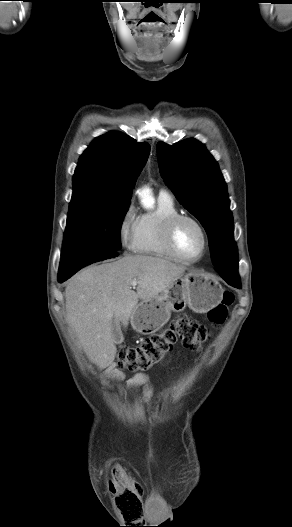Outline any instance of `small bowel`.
Masks as SVG:
<instances>
[{"instance_id":"c3829d8e","label":"small bowel","mask_w":292,"mask_h":527,"mask_svg":"<svg viewBox=\"0 0 292 527\" xmlns=\"http://www.w3.org/2000/svg\"><path fill=\"white\" fill-rule=\"evenodd\" d=\"M108 374L113 380L116 381L121 382L126 379L125 374L121 370L114 368L113 366L109 368ZM126 382L128 387L132 390H136L138 387L143 388V402H148L152 398L154 394V389L148 375L144 373H138L132 376L131 378L127 379Z\"/></svg>"}]
</instances>
